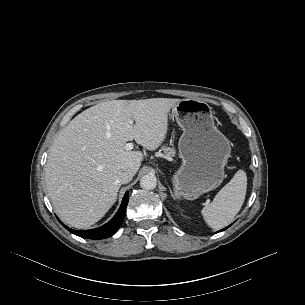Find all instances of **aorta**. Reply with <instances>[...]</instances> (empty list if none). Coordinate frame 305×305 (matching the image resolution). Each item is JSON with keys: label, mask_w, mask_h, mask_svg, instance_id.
I'll return each instance as SVG.
<instances>
[{"label": "aorta", "mask_w": 305, "mask_h": 305, "mask_svg": "<svg viewBox=\"0 0 305 305\" xmlns=\"http://www.w3.org/2000/svg\"><path fill=\"white\" fill-rule=\"evenodd\" d=\"M157 185V178L153 174L144 175L140 180V186L145 190H153Z\"/></svg>", "instance_id": "aorta-1"}]
</instances>
